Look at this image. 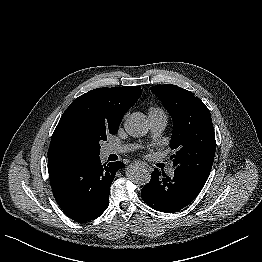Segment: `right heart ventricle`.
Returning a JSON list of instances; mask_svg holds the SVG:
<instances>
[{"label": "right heart ventricle", "mask_w": 262, "mask_h": 262, "mask_svg": "<svg viewBox=\"0 0 262 262\" xmlns=\"http://www.w3.org/2000/svg\"><path fill=\"white\" fill-rule=\"evenodd\" d=\"M150 115H165L164 112L158 107H151L149 109V116Z\"/></svg>", "instance_id": "1"}]
</instances>
